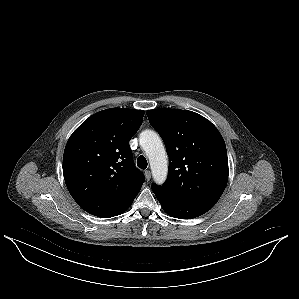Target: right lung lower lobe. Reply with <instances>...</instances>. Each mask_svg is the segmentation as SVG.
<instances>
[{
    "instance_id": "98d812e1",
    "label": "right lung lower lobe",
    "mask_w": 299,
    "mask_h": 299,
    "mask_svg": "<svg viewBox=\"0 0 299 299\" xmlns=\"http://www.w3.org/2000/svg\"><path fill=\"white\" fill-rule=\"evenodd\" d=\"M112 210H113V207L111 205H107L103 209L98 211L97 214L93 213V215L102 217V218H108L107 214L110 213Z\"/></svg>"
}]
</instances>
